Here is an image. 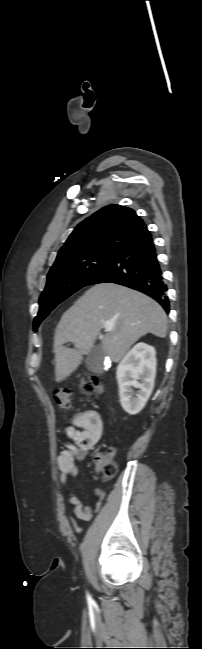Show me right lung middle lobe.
Here are the masks:
<instances>
[{
	"mask_svg": "<svg viewBox=\"0 0 202 649\" xmlns=\"http://www.w3.org/2000/svg\"><path fill=\"white\" fill-rule=\"evenodd\" d=\"M117 253L89 251L73 255L53 264L47 284L39 299V313L34 319V331L42 320L74 292L84 287L90 278Z\"/></svg>",
	"mask_w": 202,
	"mask_h": 649,
	"instance_id": "right-lung-middle-lobe-1",
	"label": "right lung middle lobe"
}]
</instances>
